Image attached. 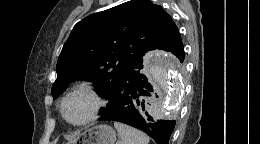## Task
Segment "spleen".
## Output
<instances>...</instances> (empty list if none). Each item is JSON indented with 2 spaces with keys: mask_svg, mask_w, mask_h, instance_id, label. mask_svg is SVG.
Masks as SVG:
<instances>
[{
  "mask_svg": "<svg viewBox=\"0 0 260 144\" xmlns=\"http://www.w3.org/2000/svg\"><path fill=\"white\" fill-rule=\"evenodd\" d=\"M114 127L120 136L118 144H149V137L133 127L119 122H114Z\"/></svg>",
  "mask_w": 260,
  "mask_h": 144,
  "instance_id": "obj_1",
  "label": "spleen"
}]
</instances>
